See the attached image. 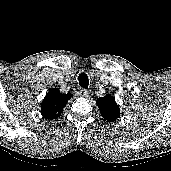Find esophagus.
<instances>
[{"instance_id":"obj_1","label":"esophagus","mask_w":171,"mask_h":171,"mask_svg":"<svg viewBox=\"0 0 171 171\" xmlns=\"http://www.w3.org/2000/svg\"><path fill=\"white\" fill-rule=\"evenodd\" d=\"M80 97H88L89 96V93L87 90L85 89H80L77 93Z\"/></svg>"}]
</instances>
